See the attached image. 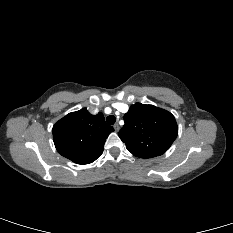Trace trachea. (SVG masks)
<instances>
[{
  "label": "trachea",
  "instance_id": "3493384b",
  "mask_svg": "<svg viewBox=\"0 0 233 233\" xmlns=\"http://www.w3.org/2000/svg\"><path fill=\"white\" fill-rule=\"evenodd\" d=\"M106 121L109 125H113L116 121V118L114 115H109L107 118H106Z\"/></svg>",
  "mask_w": 233,
  "mask_h": 233
}]
</instances>
